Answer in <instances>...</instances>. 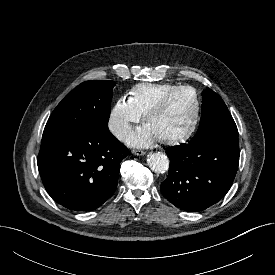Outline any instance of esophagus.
I'll use <instances>...</instances> for the list:
<instances>
[{
  "label": "esophagus",
  "mask_w": 275,
  "mask_h": 275,
  "mask_svg": "<svg viewBox=\"0 0 275 275\" xmlns=\"http://www.w3.org/2000/svg\"><path fill=\"white\" fill-rule=\"evenodd\" d=\"M132 153H133L134 155H137V156H142V155L145 154V151L135 149V150H132Z\"/></svg>",
  "instance_id": "34e87169"
}]
</instances>
